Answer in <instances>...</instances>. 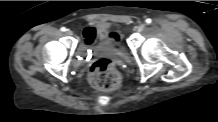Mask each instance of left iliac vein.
Instances as JSON below:
<instances>
[{
  "mask_svg": "<svg viewBox=\"0 0 218 122\" xmlns=\"http://www.w3.org/2000/svg\"><path fill=\"white\" fill-rule=\"evenodd\" d=\"M146 25L145 24H140L138 27H137V31L138 32H142L144 29H145Z\"/></svg>",
  "mask_w": 218,
  "mask_h": 122,
  "instance_id": "left-iliac-vein-1",
  "label": "left iliac vein"
}]
</instances>
